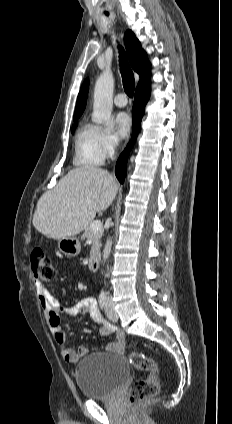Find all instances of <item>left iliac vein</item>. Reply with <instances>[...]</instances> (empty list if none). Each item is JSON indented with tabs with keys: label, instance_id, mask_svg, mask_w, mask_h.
<instances>
[{
	"label": "left iliac vein",
	"instance_id": "obj_1",
	"mask_svg": "<svg viewBox=\"0 0 232 424\" xmlns=\"http://www.w3.org/2000/svg\"><path fill=\"white\" fill-rule=\"evenodd\" d=\"M106 315L113 322H116L118 320V315L116 311L114 310L111 300L109 299L107 300V303H106Z\"/></svg>",
	"mask_w": 232,
	"mask_h": 424
}]
</instances>
